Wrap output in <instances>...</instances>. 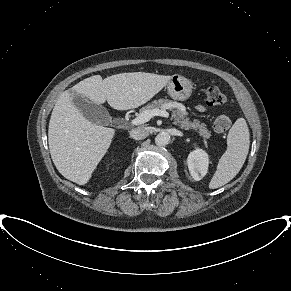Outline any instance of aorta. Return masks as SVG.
Instances as JSON below:
<instances>
[{
  "label": "aorta",
  "instance_id": "aorta-1",
  "mask_svg": "<svg viewBox=\"0 0 291 291\" xmlns=\"http://www.w3.org/2000/svg\"><path fill=\"white\" fill-rule=\"evenodd\" d=\"M170 141V135L166 132H161L155 137V143L158 146H165Z\"/></svg>",
  "mask_w": 291,
  "mask_h": 291
}]
</instances>
